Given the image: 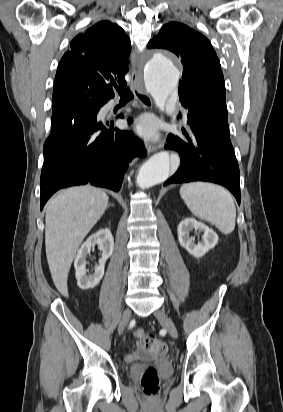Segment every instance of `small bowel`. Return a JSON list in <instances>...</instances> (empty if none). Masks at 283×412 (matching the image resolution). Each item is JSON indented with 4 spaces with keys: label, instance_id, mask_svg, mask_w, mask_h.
Masks as SVG:
<instances>
[{
    "label": "small bowel",
    "instance_id": "c3829d8e",
    "mask_svg": "<svg viewBox=\"0 0 283 412\" xmlns=\"http://www.w3.org/2000/svg\"><path fill=\"white\" fill-rule=\"evenodd\" d=\"M142 334H143L142 330H136L134 332V335L136 337H140ZM136 358H137V353H129V354H126V356H125V359H126L127 362H133V361L136 360Z\"/></svg>",
    "mask_w": 283,
    "mask_h": 412
}]
</instances>
